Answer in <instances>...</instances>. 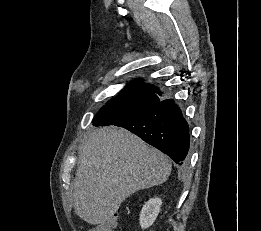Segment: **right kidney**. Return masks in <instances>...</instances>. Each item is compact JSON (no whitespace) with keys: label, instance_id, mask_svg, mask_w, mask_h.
<instances>
[{"label":"right kidney","instance_id":"ca27d5eb","mask_svg":"<svg viewBox=\"0 0 261 231\" xmlns=\"http://www.w3.org/2000/svg\"><path fill=\"white\" fill-rule=\"evenodd\" d=\"M161 205L162 200L158 197L151 198L144 204L139 219L142 229H146L154 223L160 212Z\"/></svg>","mask_w":261,"mask_h":231}]
</instances>
